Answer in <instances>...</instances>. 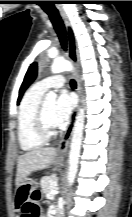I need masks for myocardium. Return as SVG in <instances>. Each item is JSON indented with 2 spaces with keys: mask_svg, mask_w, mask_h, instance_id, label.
<instances>
[{
  "mask_svg": "<svg viewBox=\"0 0 132 217\" xmlns=\"http://www.w3.org/2000/svg\"><path fill=\"white\" fill-rule=\"evenodd\" d=\"M44 101H41L35 116V128L37 134L44 141L52 139L56 135V129L54 125H50L45 117Z\"/></svg>",
  "mask_w": 132,
  "mask_h": 217,
  "instance_id": "1",
  "label": "myocardium"
}]
</instances>
